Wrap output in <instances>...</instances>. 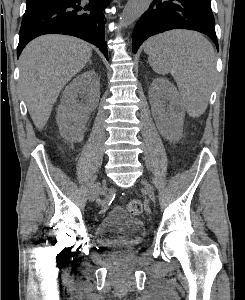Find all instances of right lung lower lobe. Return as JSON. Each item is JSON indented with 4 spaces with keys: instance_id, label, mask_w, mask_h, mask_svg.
<instances>
[{
    "instance_id": "98d812e1",
    "label": "right lung lower lobe",
    "mask_w": 245,
    "mask_h": 300,
    "mask_svg": "<svg viewBox=\"0 0 245 300\" xmlns=\"http://www.w3.org/2000/svg\"><path fill=\"white\" fill-rule=\"evenodd\" d=\"M110 0H48L26 9L17 47L18 56L37 36L50 33L81 38L97 46L108 59L103 8Z\"/></svg>"
}]
</instances>
